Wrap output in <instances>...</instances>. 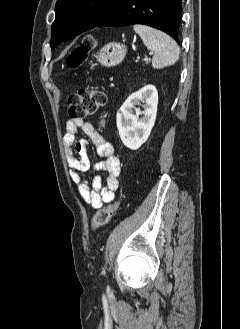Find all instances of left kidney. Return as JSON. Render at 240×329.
<instances>
[{
  "label": "left kidney",
  "mask_w": 240,
  "mask_h": 329,
  "mask_svg": "<svg viewBox=\"0 0 240 329\" xmlns=\"http://www.w3.org/2000/svg\"><path fill=\"white\" fill-rule=\"evenodd\" d=\"M145 102L141 111L135 105ZM158 92L155 86L147 85L131 94L117 112L116 121L123 144L131 150H137L145 143L156 120ZM139 118V115H142Z\"/></svg>",
  "instance_id": "left-kidney-1"
}]
</instances>
